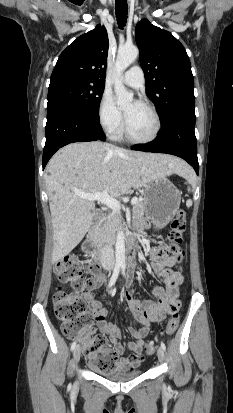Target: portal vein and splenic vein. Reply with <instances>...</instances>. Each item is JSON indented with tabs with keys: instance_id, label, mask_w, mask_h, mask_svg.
<instances>
[{
	"instance_id": "18ae733b",
	"label": "portal vein and splenic vein",
	"mask_w": 233,
	"mask_h": 413,
	"mask_svg": "<svg viewBox=\"0 0 233 413\" xmlns=\"http://www.w3.org/2000/svg\"><path fill=\"white\" fill-rule=\"evenodd\" d=\"M75 194L82 199H87L90 201H99L102 204H105L108 208L112 209L115 212H119L121 209L120 202L115 198L111 197L108 192L105 190L99 193H83L80 191H76ZM138 201L137 197H133L131 200V204L134 205Z\"/></svg>"
}]
</instances>
